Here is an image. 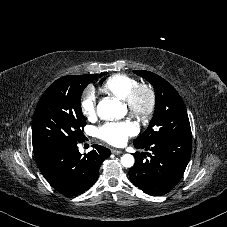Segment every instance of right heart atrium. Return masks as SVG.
<instances>
[{"label":"right heart atrium","mask_w":227,"mask_h":227,"mask_svg":"<svg viewBox=\"0 0 227 227\" xmlns=\"http://www.w3.org/2000/svg\"><path fill=\"white\" fill-rule=\"evenodd\" d=\"M80 109L87 119H92L97 115V96L94 90L88 89L84 92L80 102Z\"/></svg>","instance_id":"obj_1"}]
</instances>
